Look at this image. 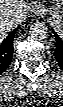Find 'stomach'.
I'll use <instances>...</instances> for the list:
<instances>
[{
  "label": "stomach",
  "mask_w": 63,
  "mask_h": 107,
  "mask_svg": "<svg viewBox=\"0 0 63 107\" xmlns=\"http://www.w3.org/2000/svg\"><path fill=\"white\" fill-rule=\"evenodd\" d=\"M54 21L55 26L59 29H63V1H54V4L49 10H47Z\"/></svg>",
  "instance_id": "stomach-1"
}]
</instances>
